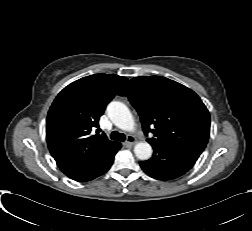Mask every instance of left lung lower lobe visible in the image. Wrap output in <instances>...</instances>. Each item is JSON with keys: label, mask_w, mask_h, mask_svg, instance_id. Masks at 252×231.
<instances>
[{"label": "left lung lower lobe", "mask_w": 252, "mask_h": 231, "mask_svg": "<svg viewBox=\"0 0 252 231\" xmlns=\"http://www.w3.org/2000/svg\"><path fill=\"white\" fill-rule=\"evenodd\" d=\"M152 147L153 157L140 162V166L151 177L164 181L185 174L202 153L182 145L153 144Z\"/></svg>", "instance_id": "1"}]
</instances>
